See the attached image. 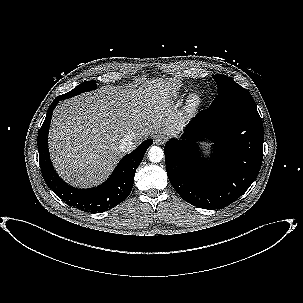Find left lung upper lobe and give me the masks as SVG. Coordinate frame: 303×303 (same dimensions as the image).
<instances>
[{
	"label": "left lung upper lobe",
	"mask_w": 303,
	"mask_h": 303,
	"mask_svg": "<svg viewBox=\"0 0 303 303\" xmlns=\"http://www.w3.org/2000/svg\"><path fill=\"white\" fill-rule=\"evenodd\" d=\"M218 86V95L210 107H223L239 104H255L248 90L225 75H213Z\"/></svg>",
	"instance_id": "5c2ea615"
}]
</instances>
